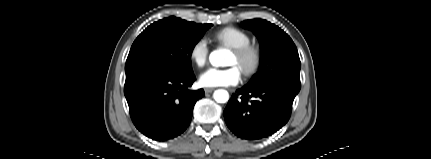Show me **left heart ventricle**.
I'll use <instances>...</instances> for the list:
<instances>
[{
    "label": "left heart ventricle",
    "instance_id": "obj_1",
    "mask_svg": "<svg viewBox=\"0 0 431 159\" xmlns=\"http://www.w3.org/2000/svg\"><path fill=\"white\" fill-rule=\"evenodd\" d=\"M228 65L229 66H234L235 65V66L239 67L238 60H237V58L235 57V55L233 53L230 54V57H229V60H228Z\"/></svg>",
    "mask_w": 431,
    "mask_h": 159
}]
</instances>
